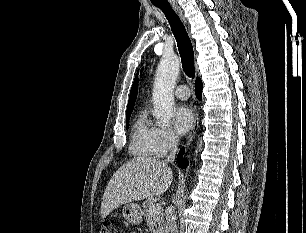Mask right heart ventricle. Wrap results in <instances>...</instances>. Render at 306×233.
<instances>
[{
	"label": "right heart ventricle",
	"mask_w": 306,
	"mask_h": 233,
	"mask_svg": "<svg viewBox=\"0 0 306 233\" xmlns=\"http://www.w3.org/2000/svg\"><path fill=\"white\" fill-rule=\"evenodd\" d=\"M155 128L146 113L139 114L132 126L130 153L138 159H147L155 155Z\"/></svg>",
	"instance_id": "right-heart-ventricle-1"
}]
</instances>
